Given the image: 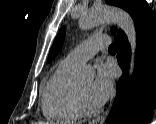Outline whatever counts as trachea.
Segmentation results:
<instances>
[{"instance_id":"obj_1","label":"trachea","mask_w":156,"mask_h":124,"mask_svg":"<svg viewBox=\"0 0 156 124\" xmlns=\"http://www.w3.org/2000/svg\"><path fill=\"white\" fill-rule=\"evenodd\" d=\"M117 50V46L112 43L110 46H109V51H116Z\"/></svg>"}]
</instances>
